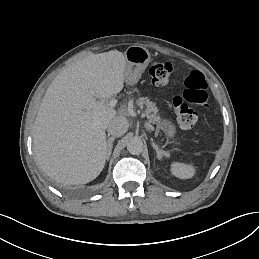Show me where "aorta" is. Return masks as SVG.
<instances>
[{
	"instance_id": "obj_1",
	"label": "aorta",
	"mask_w": 259,
	"mask_h": 259,
	"mask_svg": "<svg viewBox=\"0 0 259 259\" xmlns=\"http://www.w3.org/2000/svg\"><path fill=\"white\" fill-rule=\"evenodd\" d=\"M144 149L143 142L138 138H132L127 144V150L132 155H139Z\"/></svg>"
}]
</instances>
